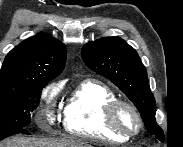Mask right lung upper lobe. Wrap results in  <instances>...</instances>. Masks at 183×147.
<instances>
[{
  "label": "right lung upper lobe",
  "instance_id": "cb5924a9",
  "mask_svg": "<svg viewBox=\"0 0 183 147\" xmlns=\"http://www.w3.org/2000/svg\"><path fill=\"white\" fill-rule=\"evenodd\" d=\"M65 46L45 33L30 37L6 56L0 70V86L50 82L64 69Z\"/></svg>",
  "mask_w": 183,
  "mask_h": 147
}]
</instances>
